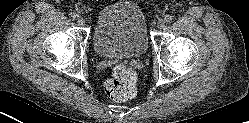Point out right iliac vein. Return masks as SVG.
I'll return each instance as SVG.
<instances>
[{"instance_id":"63e3f726","label":"right iliac vein","mask_w":249,"mask_h":123,"mask_svg":"<svg viewBox=\"0 0 249 123\" xmlns=\"http://www.w3.org/2000/svg\"><path fill=\"white\" fill-rule=\"evenodd\" d=\"M77 23H78V25H80V26H84V25H85V19L82 18V17H79V18L77 19Z\"/></svg>"}]
</instances>
